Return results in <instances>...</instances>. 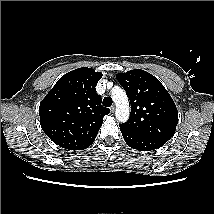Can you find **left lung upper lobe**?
<instances>
[{
    "label": "left lung upper lobe",
    "mask_w": 214,
    "mask_h": 214,
    "mask_svg": "<svg viewBox=\"0 0 214 214\" xmlns=\"http://www.w3.org/2000/svg\"><path fill=\"white\" fill-rule=\"evenodd\" d=\"M117 79L131 103L130 118L120 128L166 143L175 133L178 111L162 83L141 69L119 73Z\"/></svg>",
    "instance_id": "obj_1"
}]
</instances>
